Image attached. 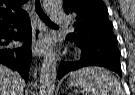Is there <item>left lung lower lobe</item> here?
<instances>
[{"label": "left lung lower lobe", "mask_w": 135, "mask_h": 95, "mask_svg": "<svg viewBox=\"0 0 135 95\" xmlns=\"http://www.w3.org/2000/svg\"><path fill=\"white\" fill-rule=\"evenodd\" d=\"M77 45L82 50L81 59L75 62L61 61L58 70V79H61L70 71H75L86 66L106 67L121 76L120 52L117 48V43L100 41L89 45Z\"/></svg>", "instance_id": "left-lung-lower-lobe-1"}]
</instances>
